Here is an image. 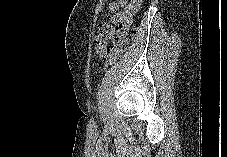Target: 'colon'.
Here are the masks:
<instances>
[{
  "mask_svg": "<svg viewBox=\"0 0 227 157\" xmlns=\"http://www.w3.org/2000/svg\"><path fill=\"white\" fill-rule=\"evenodd\" d=\"M120 32L121 27L115 23L114 18L108 22L101 23L98 27V33L93 40V45L96 54L106 58V68L113 65L128 48L129 40L119 36ZM133 33L134 31H132ZM112 39L115 42L110 45L109 42Z\"/></svg>",
  "mask_w": 227,
  "mask_h": 157,
  "instance_id": "5ec220e1",
  "label": "colon"
}]
</instances>
